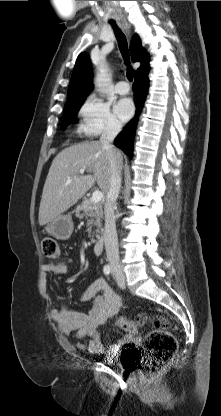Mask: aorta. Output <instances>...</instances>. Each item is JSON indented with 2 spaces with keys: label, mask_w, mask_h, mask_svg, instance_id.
<instances>
[{
  "label": "aorta",
  "mask_w": 221,
  "mask_h": 416,
  "mask_svg": "<svg viewBox=\"0 0 221 416\" xmlns=\"http://www.w3.org/2000/svg\"><path fill=\"white\" fill-rule=\"evenodd\" d=\"M104 67L100 68V71L97 73L95 78V86L99 88L100 91H103V86L107 81V73Z\"/></svg>",
  "instance_id": "762f6f07"
}]
</instances>
